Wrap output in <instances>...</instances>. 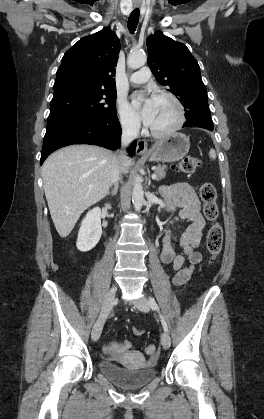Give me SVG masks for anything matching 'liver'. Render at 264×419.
<instances>
[{
	"label": "liver",
	"mask_w": 264,
	"mask_h": 419,
	"mask_svg": "<svg viewBox=\"0 0 264 419\" xmlns=\"http://www.w3.org/2000/svg\"><path fill=\"white\" fill-rule=\"evenodd\" d=\"M113 158L114 154L104 148L81 144L62 148L44 162L45 196L61 237H67L80 215L109 193ZM131 165V158L125 156L124 173Z\"/></svg>",
	"instance_id": "liver-1"
}]
</instances>
